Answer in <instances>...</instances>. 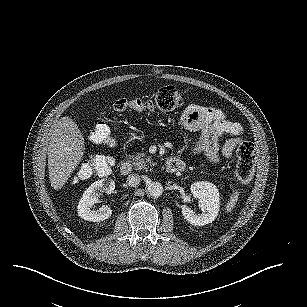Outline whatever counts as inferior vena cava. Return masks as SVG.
Wrapping results in <instances>:
<instances>
[{"instance_id": "1", "label": "inferior vena cava", "mask_w": 307, "mask_h": 307, "mask_svg": "<svg viewBox=\"0 0 307 307\" xmlns=\"http://www.w3.org/2000/svg\"><path fill=\"white\" fill-rule=\"evenodd\" d=\"M140 181H141L140 175L134 173L128 175L126 182L130 187H137L140 184Z\"/></svg>"}]
</instances>
